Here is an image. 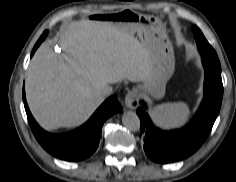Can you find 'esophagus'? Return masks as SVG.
Returning a JSON list of instances; mask_svg holds the SVG:
<instances>
[{
	"label": "esophagus",
	"mask_w": 236,
	"mask_h": 182,
	"mask_svg": "<svg viewBox=\"0 0 236 182\" xmlns=\"http://www.w3.org/2000/svg\"><path fill=\"white\" fill-rule=\"evenodd\" d=\"M125 105L129 109H135L139 105V97L136 90H131L127 93L125 97Z\"/></svg>",
	"instance_id": "1"
}]
</instances>
